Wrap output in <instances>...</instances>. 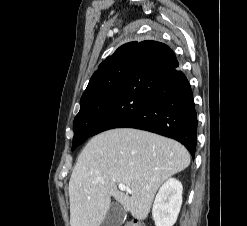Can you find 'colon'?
I'll return each instance as SVG.
<instances>
[{
  "instance_id": "colon-1",
  "label": "colon",
  "mask_w": 247,
  "mask_h": 226,
  "mask_svg": "<svg viewBox=\"0 0 247 226\" xmlns=\"http://www.w3.org/2000/svg\"><path fill=\"white\" fill-rule=\"evenodd\" d=\"M124 226H145V225L138 219H132L126 222Z\"/></svg>"
}]
</instances>
